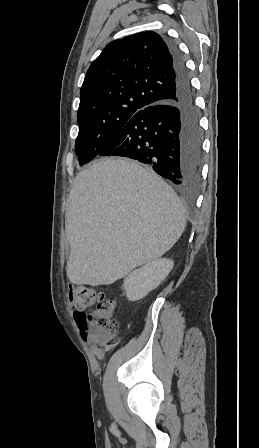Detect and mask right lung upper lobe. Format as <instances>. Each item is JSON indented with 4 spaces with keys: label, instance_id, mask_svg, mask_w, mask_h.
<instances>
[{
    "label": "right lung upper lobe",
    "instance_id": "1",
    "mask_svg": "<svg viewBox=\"0 0 259 448\" xmlns=\"http://www.w3.org/2000/svg\"><path fill=\"white\" fill-rule=\"evenodd\" d=\"M176 76L167 43L152 31L109 43L88 69L77 115L145 109L170 99Z\"/></svg>",
    "mask_w": 259,
    "mask_h": 448
}]
</instances>
